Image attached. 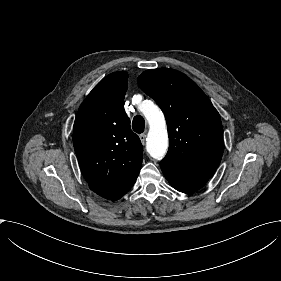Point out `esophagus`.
Wrapping results in <instances>:
<instances>
[{
	"label": "esophagus",
	"mask_w": 281,
	"mask_h": 281,
	"mask_svg": "<svg viewBox=\"0 0 281 281\" xmlns=\"http://www.w3.org/2000/svg\"><path fill=\"white\" fill-rule=\"evenodd\" d=\"M139 138H140L142 144H144V143H145V140H146V134H144V133L140 134V135H139Z\"/></svg>",
	"instance_id": "34e87169"
}]
</instances>
